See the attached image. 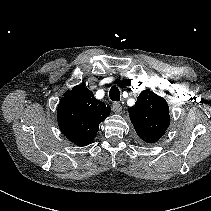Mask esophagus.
Segmentation results:
<instances>
[{
    "label": "esophagus",
    "mask_w": 211,
    "mask_h": 211,
    "mask_svg": "<svg viewBox=\"0 0 211 211\" xmlns=\"http://www.w3.org/2000/svg\"><path fill=\"white\" fill-rule=\"evenodd\" d=\"M112 110L115 112V113H118L120 114L122 112V106L120 103L118 102H114L113 105H112Z\"/></svg>",
    "instance_id": "obj_1"
}]
</instances>
